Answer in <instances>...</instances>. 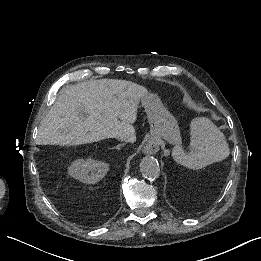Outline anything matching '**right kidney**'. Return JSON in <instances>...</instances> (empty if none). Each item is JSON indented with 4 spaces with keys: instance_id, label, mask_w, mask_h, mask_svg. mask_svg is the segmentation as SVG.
<instances>
[{
    "instance_id": "1",
    "label": "right kidney",
    "mask_w": 261,
    "mask_h": 261,
    "mask_svg": "<svg viewBox=\"0 0 261 261\" xmlns=\"http://www.w3.org/2000/svg\"><path fill=\"white\" fill-rule=\"evenodd\" d=\"M107 163L93 159H78L72 162L68 169L71 177L86 183L95 184L99 182L108 172Z\"/></svg>"
}]
</instances>
